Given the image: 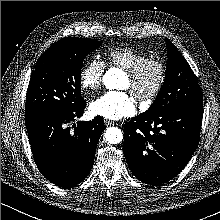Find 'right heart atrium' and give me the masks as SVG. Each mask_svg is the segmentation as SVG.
I'll return each mask as SVG.
<instances>
[{
    "mask_svg": "<svg viewBox=\"0 0 220 220\" xmlns=\"http://www.w3.org/2000/svg\"><path fill=\"white\" fill-rule=\"evenodd\" d=\"M104 68V63L101 60L97 58L88 60L79 73L81 89L85 92H95L98 90L102 83Z\"/></svg>",
    "mask_w": 220,
    "mask_h": 220,
    "instance_id": "right-heart-atrium-1",
    "label": "right heart atrium"
}]
</instances>
